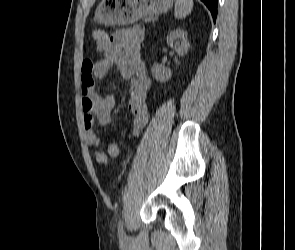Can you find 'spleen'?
I'll return each mask as SVG.
<instances>
[{
    "label": "spleen",
    "instance_id": "obj_1",
    "mask_svg": "<svg viewBox=\"0 0 295 250\" xmlns=\"http://www.w3.org/2000/svg\"><path fill=\"white\" fill-rule=\"evenodd\" d=\"M193 8V0H176L174 15L177 19H183L189 15Z\"/></svg>",
    "mask_w": 295,
    "mask_h": 250
}]
</instances>
